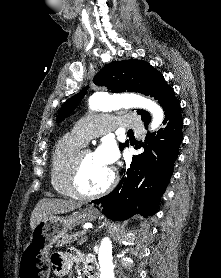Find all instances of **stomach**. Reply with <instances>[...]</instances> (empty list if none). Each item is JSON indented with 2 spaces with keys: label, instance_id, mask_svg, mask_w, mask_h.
<instances>
[{
  "label": "stomach",
  "instance_id": "0dacf381",
  "mask_svg": "<svg viewBox=\"0 0 221 278\" xmlns=\"http://www.w3.org/2000/svg\"><path fill=\"white\" fill-rule=\"evenodd\" d=\"M98 212L90 207L72 213L67 217L48 216L32 230L30 241L21 254L20 278H51L47 250L55 245L68 230L76 225L93 221Z\"/></svg>",
  "mask_w": 221,
  "mask_h": 278
}]
</instances>
